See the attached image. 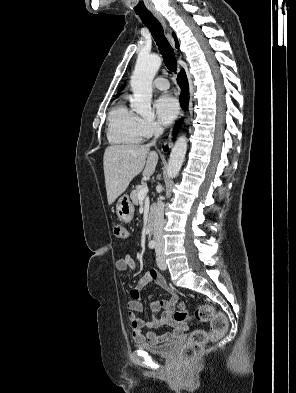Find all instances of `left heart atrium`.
I'll return each mask as SVG.
<instances>
[{"mask_svg":"<svg viewBox=\"0 0 296 393\" xmlns=\"http://www.w3.org/2000/svg\"><path fill=\"white\" fill-rule=\"evenodd\" d=\"M154 108L159 121L164 125H169L177 116L179 106L171 95L160 96L154 104Z\"/></svg>","mask_w":296,"mask_h":393,"instance_id":"left-heart-atrium-1","label":"left heart atrium"}]
</instances>
